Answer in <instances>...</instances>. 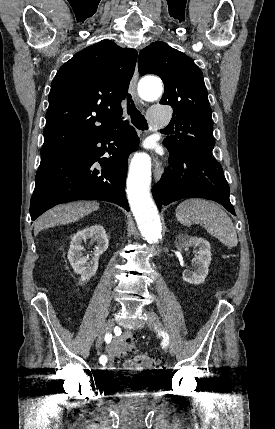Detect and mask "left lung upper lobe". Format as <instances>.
<instances>
[{
  "instance_id": "obj_1",
  "label": "left lung upper lobe",
  "mask_w": 275,
  "mask_h": 429,
  "mask_svg": "<svg viewBox=\"0 0 275 429\" xmlns=\"http://www.w3.org/2000/svg\"><path fill=\"white\" fill-rule=\"evenodd\" d=\"M145 57V60L143 59ZM141 75L156 74L164 82L161 104L173 108L174 135L164 140L174 154L193 151L212 155L213 122L202 71L184 53L160 41L151 43L138 57Z\"/></svg>"
}]
</instances>
